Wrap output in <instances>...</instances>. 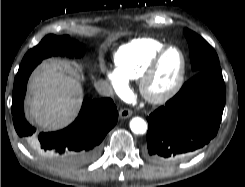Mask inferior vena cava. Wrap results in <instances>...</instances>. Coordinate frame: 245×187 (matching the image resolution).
Instances as JSON below:
<instances>
[{
	"instance_id": "inferior-vena-cava-1",
	"label": "inferior vena cava",
	"mask_w": 245,
	"mask_h": 187,
	"mask_svg": "<svg viewBox=\"0 0 245 187\" xmlns=\"http://www.w3.org/2000/svg\"><path fill=\"white\" fill-rule=\"evenodd\" d=\"M97 92L102 96H111L113 91L111 86L104 80H100L94 84Z\"/></svg>"
}]
</instances>
